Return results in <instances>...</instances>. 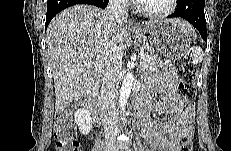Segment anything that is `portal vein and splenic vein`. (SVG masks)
Here are the masks:
<instances>
[{
	"instance_id": "obj_1",
	"label": "portal vein and splenic vein",
	"mask_w": 231,
	"mask_h": 151,
	"mask_svg": "<svg viewBox=\"0 0 231 151\" xmlns=\"http://www.w3.org/2000/svg\"><path fill=\"white\" fill-rule=\"evenodd\" d=\"M139 57H140V59H143L145 57V54L144 53H140Z\"/></svg>"
}]
</instances>
